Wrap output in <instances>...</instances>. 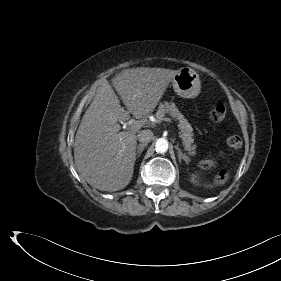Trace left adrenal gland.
<instances>
[{"instance_id":"left-adrenal-gland-1","label":"left adrenal gland","mask_w":281,"mask_h":281,"mask_svg":"<svg viewBox=\"0 0 281 281\" xmlns=\"http://www.w3.org/2000/svg\"><path fill=\"white\" fill-rule=\"evenodd\" d=\"M176 149L178 150V159L179 162H181V160H184L186 164H188V160H187V156L185 154L182 153L181 149L177 146Z\"/></svg>"}]
</instances>
